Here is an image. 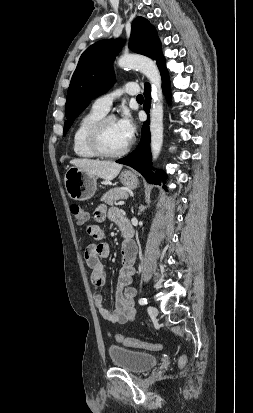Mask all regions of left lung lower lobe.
<instances>
[{
    "instance_id": "left-lung-lower-lobe-1",
    "label": "left lung lower lobe",
    "mask_w": 253,
    "mask_h": 413,
    "mask_svg": "<svg viewBox=\"0 0 253 413\" xmlns=\"http://www.w3.org/2000/svg\"><path fill=\"white\" fill-rule=\"evenodd\" d=\"M163 85L162 88L166 92L167 100L170 101L171 92H170V81H169V74L165 65V60L158 66ZM144 96L145 102L143 109L144 111L149 114L150 110V103H151V91L150 85L148 83L145 84L144 88ZM150 132H149V118L147 121L144 122L142 127V135L140 143L135 151H133L128 156L117 160L116 162L128 165L138 172H140L143 177L149 183L160 184L162 179H165V175L161 172L153 173L151 172V153H150Z\"/></svg>"
}]
</instances>
